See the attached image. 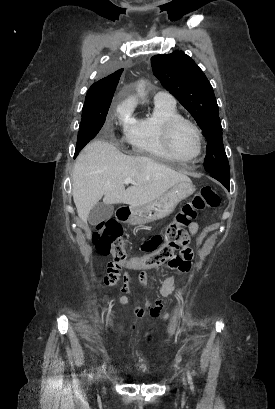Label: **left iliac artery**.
Listing matches in <instances>:
<instances>
[{
  "label": "left iliac artery",
  "mask_w": 275,
  "mask_h": 409,
  "mask_svg": "<svg viewBox=\"0 0 275 409\" xmlns=\"http://www.w3.org/2000/svg\"><path fill=\"white\" fill-rule=\"evenodd\" d=\"M187 376H188V380H189V382H188V383H189L190 385H193V382H192V377H191V374H190V372H189V371L187 372Z\"/></svg>",
  "instance_id": "44dca946"
}]
</instances>
